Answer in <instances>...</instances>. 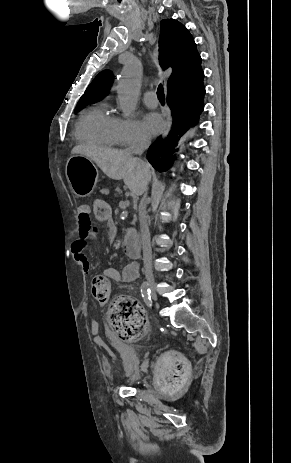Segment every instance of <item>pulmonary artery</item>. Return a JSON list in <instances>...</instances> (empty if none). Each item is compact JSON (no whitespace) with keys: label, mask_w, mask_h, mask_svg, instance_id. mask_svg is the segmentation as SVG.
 I'll list each match as a JSON object with an SVG mask.
<instances>
[{"label":"pulmonary artery","mask_w":291,"mask_h":463,"mask_svg":"<svg viewBox=\"0 0 291 463\" xmlns=\"http://www.w3.org/2000/svg\"><path fill=\"white\" fill-rule=\"evenodd\" d=\"M144 103L149 107H156L158 105V98L154 91H148L143 96Z\"/></svg>","instance_id":"1"}]
</instances>
